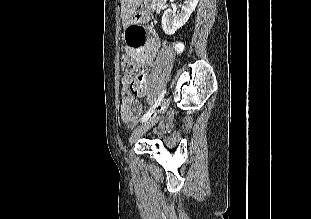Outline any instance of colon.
<instances>
[{"instance_id":"obj_1","label":"colon","mask_w":311,"mask_h":219,"mask_svg":"<svg viewBox=\"0 0 311 219\" xmlns=\"http://www.w3.org/2000/svg\"><path fill=\"white\" fill-rule=\"evenodd\" d=\"M145 29L140 26H132L127 33V42L137 45L144 39ZM139 68V63L129 56L121 59V69L125 74H133ZM146 78L138 75L130 84L131 91L136 95H142L145 92Z\"/></svg>"}]
</instances>
